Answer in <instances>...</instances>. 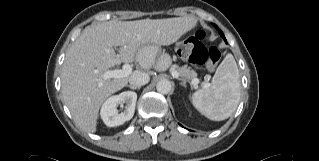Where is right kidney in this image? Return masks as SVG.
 <instances>
[{
  "label": "right kidney",
  "instance_id": "ca27d5eb",
  "mask_svg": "<svg viewBox=\"0 0 319 161\" xmlns=\"http://www.w3.org/2000/svg\"><path fill=\"white\" fill-rule=\"evenodd\" d=\"M136 100L137 94L132 91L111 96L103 103L101 108L100 114L103 122L109 127H114L129 121L134 115ZM123 104H125V110L119 113L117 107Z\"/></svg>",
  "mask_w": 319,
  "mask_h": 161
}]
</instances>
